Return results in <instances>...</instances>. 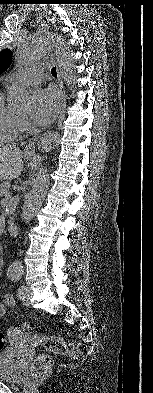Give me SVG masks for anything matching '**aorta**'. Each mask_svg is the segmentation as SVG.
<instances>
[{"label": "aorta", "mask_w": 153, "mask_h": 393, "mask_svg": "<svg viewBox=\"0 0 153 393\" xmlns=\"http://www.w3.org/2000/svg\"><path fill=\"white\" fill-rule=\"evenodd\" d=\"M51 50H54L58 68L62 79L67 84L74 83V59L69 46L63 38L54 32L40 31L29 35L18 49L17 59L20 66H26L32 62L44 58ZM33 98L31 92L21 86H11L7 91V107L12 112H23L32 107ZM59 136L56 133H47L39 141L42 152L57 146ZM48 175L45 169H40L36 180L27 194L22 208L21 219L29 222L43 204L48 187ZM22 272L21 263L13 260L10 263V274L18 276Z\"/></svg>", "instance_id": "obj_1"}]
</instances>
